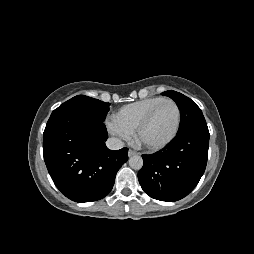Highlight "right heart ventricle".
<instances>
[{
	"label": "right heart ventricle",
	"instance_id": "obj_1",
	"mask_svg": "<svg viewBox=\"0 0 254 254\" xmlns=\"http://www.w3.org/2000/svg\"><path fill=\"white\" fill-rule=\"evenodd\" d=\"M164 99V97H149L124 105L115 113L114 117L123 126L134 131L148 112Z\"/></svg>",
	"mask_w": 254,
	"mask_h": 254
}]
</instances>
